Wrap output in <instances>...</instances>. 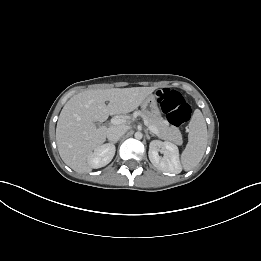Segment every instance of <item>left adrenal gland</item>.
<instances>
[{"instance_id": "obj_1", "label": "left adrenal gland", "mask_w": 261, "mask_h": 261, "mask_svg": "<svg viewBox=\"0 0 261 261\" xmlns=\"http://www.w3.org/2000/svg\"><path fill=\"white\" fill-rule=\"evenodd\" d=\"M146 133H148V132L146 131ZM150 134H151V136H155V135H154L153 133H151V132H150Z\"/></svg>"}]
</instances>
